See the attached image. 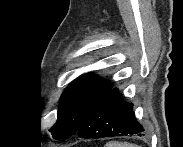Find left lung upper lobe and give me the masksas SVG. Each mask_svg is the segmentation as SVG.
Segmentation results:
<instances>
[{"label": "left lung upper lobe", "mask_w": 183, "mask_h": 147, "mask_svg": "<svg viewBox=\"0 0 183 147\" xmlns=\"http://www.w3.org/2000/svg\"><path fill=\"white\" fill-rule=\"evenodd\" d=\"M112 85L90 73L74 80L63 92L57 113V122L49 130L57 140H66L75 134L83 121Z\"/></svg>", "instance_id": "1"}]
</instances>
